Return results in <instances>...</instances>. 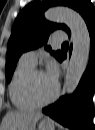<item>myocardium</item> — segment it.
Instances as JSON below:
<instances>
[{
  "label": "myocardium",
  "instance_id": "obj_1",
  "mask_svg": "<svg viewBox=\"0 0 95 130\" xmlns=\"http://www.w3.org/2000/svg\"><path fill=\"white\" fill-rule=\"evenodd\" d=\"M42 71L39 69H34L28 76L27 78V82H26V95L28 97V99L37 107H42V106H46L51 104L52 102H54L60 93V87L58 84H56V89H55V93L52 97H50L49 99L46 100H40L36 94H35V90H34V80H35V76L38 73H41Z\"/></svg>",
  "mask_w": 95,
  "mask_h": 130
}]
</instances>
